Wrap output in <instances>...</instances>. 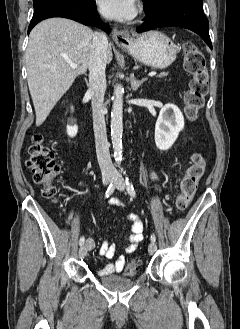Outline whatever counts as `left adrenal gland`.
I'll list each match as a JSON object with an SVG mask.
<instances>
[{"instance_id": "1", "label": "left adrenal gland", "mask_w": 240, "mask_h": 329, "mask_svg": "<svg viewBox=\"0 0 240 329\" xmlns=\"http://www.w3.org/2000/svg\"><path fill=\"white\" fill-rule=\"evenodd\" d=\"M130 81H131V88L132 90L136 91L140 86L141 84L146 81V78H143L141 80H137L134 76V74H131L130 75Z\"/></svg>"}]
</instances>
